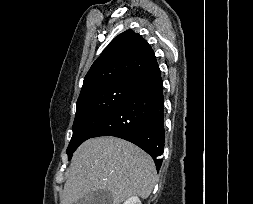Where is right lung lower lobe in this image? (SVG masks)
<instances>
[{
	"instance_id": "obj_1",
	"label": "right lung lower lobe",
	"mask_w": 253,
	"mask_h": 204,
	"mask_svg": "<svg viewBox=\"0 0 253 204\" xmlns=\"http://www.w3.org/2000/svg\"><path fill=\"white\" fill-rule=\"evenodd\" d=\"M115 136L130 141L154 159L157 170L164 148L163 83L158 64L139 78L129 94L93 137Z\"/></svg>"
}]
</instances>
